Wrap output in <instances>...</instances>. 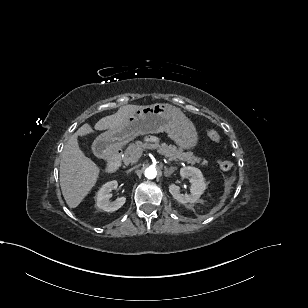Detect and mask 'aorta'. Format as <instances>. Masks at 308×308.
I'll return each mask as SVG.
<instances>
[{
    "label": "aorta",
    "mask_w": 308,
    "mask_h": 308,
    "mask_svg": "<svg viewBox=\"0 0 308 308\" xmlns=\"http://www.w3.org/2000/svg\"><path fill=\"white\" fill-rule=\"evenodd\" d=\"M157 175V170L154 166H150L145 169V177L148 179H154Z\"/></svg>",
    "instance_id": "obj_1"
}]
</instances>
